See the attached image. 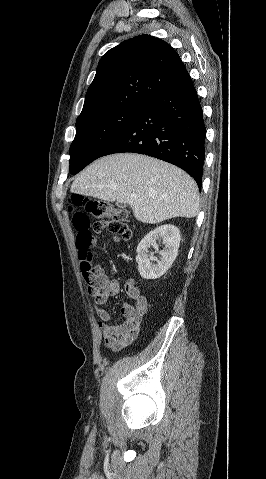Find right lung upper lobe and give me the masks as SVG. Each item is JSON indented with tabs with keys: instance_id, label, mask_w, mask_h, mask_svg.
<instances>
[{
	"instance_id": "obj_1",
	"label": "right lung upper lobe",
	"mask_w": 266,
	"mask_h": 479,
	"mask_svg": "<svg viewBox=\"0 0 266 479\" xmlns=\"http://www.w3.org/2000/svg\"><path fill=\"white\" fill-rule=\"evenodd\" d=\"M189 79L168 43L150 35L134 37L102 56L77 119L113 109L144 108Z\"/></svg>"
}]
</instances>
